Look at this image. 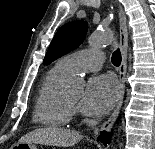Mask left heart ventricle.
Masks as SVG:
<instances>
[{
  "label": "left heart ventricle",
  "mask_w": 155,
  "mask_h": 149,
  "mask_svg": "<svg viewBox=\"0 0 155 149\" xmlns=\"http://www.w3.org/2000/svg\"><path fill=\"white\" fill-rule=\"evenodd\" d=\"M81 95H82L81 92L71 93V94L67 95V99L71 103L77 105L79 103L80 99H81Z\"/></svg>",
  "instance_id": "1"
}]
</instances>
